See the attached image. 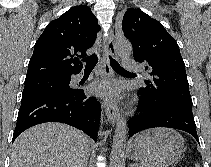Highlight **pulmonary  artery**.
Returning <instances> with one entry per match:
<instances>
[{
  "label": "pulmonary artery",
  "mask_w": 211,
  "mask_h": 167,
  "mask_svg": "<svg viewBox=\"0 0 211 167\" xmlns=\"http://www.w3.org/2000/svg\"><path fill=\"white\" fill-rule=\"evenodd\" d=\"M122 64L128 70H133V69L136 68V62H135V60H133L131 58H128V57L123 58ZM81 77H82V74H78V75H76L75 79L78 80Z\"/></svg>",
  "instance_id": "1"
}]
</instances>
